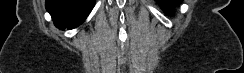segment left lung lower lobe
Returning a JSON list of instances; mask_svg holds the SVG:
<instances>
[{
	"instance_id": "1",
	"label": "left lung lower lobe",
	"mask_w": 244,
	"mask_h": 73,
	"mask_svg": "<svg viewBox=\"0 0 244 73\" xmlns=\"http://www.w3.org/2000/svg\"><path fill=\"white\" fill-rule=\"evenodd\" d=\"M157 2L167 14H172V7L177 5L180 0H157Z\"/></svg>"
}]
</instances>
